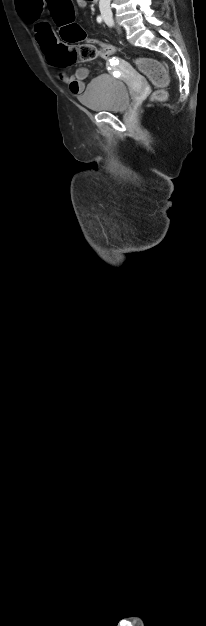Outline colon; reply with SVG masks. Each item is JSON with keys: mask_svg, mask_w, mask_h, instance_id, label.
Here are the masks:
<instances>
[{"mask_svg": "<svg viewBox=\"0 0 206 626\" xmlns=\"http://www.w3.org/2000/svg\"><path fill=\"white\" fill-rule=\"evenodd\" d=\"M47 3L52 10L55 23L60 27V35L64 41L56 48L54 59L56 65L67 66L76 62H88L99 56L113 54L117 51L112 46L95 41L76 44L75 42L85 39V32L74 21L75 14L71 0H47ZM137 66L157 87L152 99L159 102L164 101L166 93L163 88L168 83V75L162 64L152 59H138Z\"/></svg>", "mask_w": 206, "mask_h": 626, "instance_id": "1", "label": "colon"}]
</instances>
